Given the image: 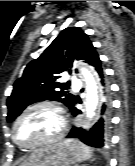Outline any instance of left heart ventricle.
Instances as JSON below:
<instances>
[{
  "label": "left heart ventricle",
  "mask_w": 135,
  "mask_h": 166,
  "mask_svg": "<svg viewBox=\"0 0 135 166\" xmlns=\"http://www.w3.org/2000/svg\"><path fill=\"white\" fill-rule=\"evenodd\" d=\"M60 116L51 108H38L28 112L18 123L16 138L23 144H33L57 134Z\"/></svg>",
  "instance_id": "obj_1"
}]
</instances>
